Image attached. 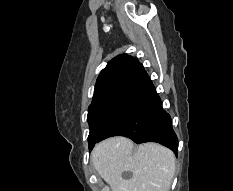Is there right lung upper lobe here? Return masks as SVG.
Instances as JSON below:
<instances>
[{
    "label": "right lung upper lobe",
    "mask_w": 233,
    "mask_h": 191,
    "mask_svg": "<svg viewBox=\"0 0 233 191\" xmlns=\"http://www.w3.org/2000/svg\"><path fill=\"white\" fill-rule=\"evenodd\" d=\"M144 67L127 54L113 58L97 78L92 103L127 92L144 72Z\"/></svg>",
    "instance_id": "1"
}]
</instances>
